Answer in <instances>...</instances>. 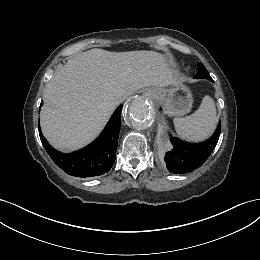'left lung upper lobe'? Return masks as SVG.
<instances>
[{
	"instance_id": "obj_1",
	"label": "left lung upper lobe",
	"mask_w": 260,
	"mask_h": 260,
	"mask_svg": "<svg viewBox=\"0 0 260 260\" xmlns=\"http://www.w3.org/2000/svg\"><path fill=\"white\" fill-rule=\"evenodd\" d=\"M195 78H206V79L212 80L208 71L206 70V68L202 64H199V72L197 73Z\"/></svg>"
}]
</instances>
